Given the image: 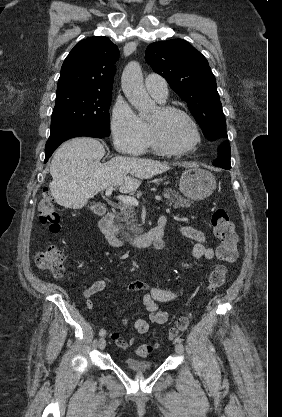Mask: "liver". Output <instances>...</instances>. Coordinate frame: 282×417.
Here are the masks:
<instances>
[{
  "mask_svg": "<svg viewBox=\"0 0 282 417\" xmlns=\"http://www.w3.org/2000/svg\"><path fill=\"white\" fill-rule=\"evenodd\" d=\"M104 154L103 144L89 136H77L57 148L50 164L49 188L58 204L65 209H83L100 190L118 186L120 192H133L141 184L138 178H151L171 168L166 162L135 156H114L100 162Z\"/></svg>",
  "mask_w": 282,
  "mask_h": 417,
  "instance_id": "1",
  "label": "liver"
}]
</instances>
